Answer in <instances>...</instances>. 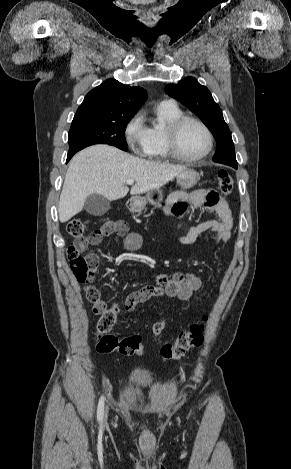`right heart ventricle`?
<instances>
[{
  "instance_id": "1",
  "label": "right heart ventricle",
  "mask_w": 291,
  "mask_h": 469,
  "mask_svg": "<svg viewBox=\"0 0 291 469\" xmlns=\"http://www.w3.org/2000/svg\"><path fill=\"white\" fill-rule=\"evenodd\" d=\"M158 124L148 127V137L143 154L153 161H166L171 159L165 138L167 126L183 115L177 105L161 103L156 108Z\"/></svg>"
}]
</instances>
